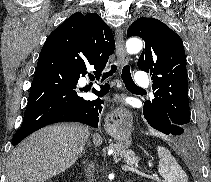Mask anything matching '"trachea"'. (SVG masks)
Instances as JSON below:
<instances>
[{
	"label": "trachea",
	"mask_w": 211,
	"mask_h": 182,
	"mask_svg": "<svg viewBox=\"0 0 211 182\" xmlns=\"http://www.w3.org/2000/svg\"><path fill=\"white\" fill-rule=\"evenodd\" d=\"M117 70V66L116 65H112L111 66V70L106 72V73H103V76L104 77H108V76H111L113 73H115ZM122 80L124 81L125 85L128 86V87H132V88H136V89H142L140 87H138L132 77H131V73H130V67L128 65H125L123 67V70H122Z\"/></svg>",
	"instance_id": "1"
}]
</instances>
